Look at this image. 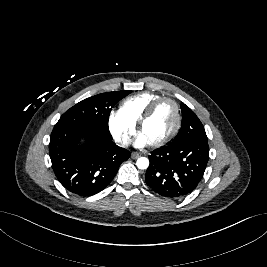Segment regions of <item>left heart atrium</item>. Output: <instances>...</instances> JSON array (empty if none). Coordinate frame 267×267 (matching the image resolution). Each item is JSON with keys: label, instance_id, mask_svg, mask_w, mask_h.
Listing matches in <instances>:
<instances>
[{"label": "left heart atrium", "instance_id": "left-heart-atrium-1", "mask_svg": "<svg viewBox=\"0 0 267 267\" xmlns=\"http://www.w3.org/2000/svg\"><path fill=\"white\" fill-rule=\"evenodd\" d=\"M151 143L141 134H139L135 140V145L137 147H145L150 145Z\"/></svg>", "mask_w": 267, "mask_h": 267}]
</instances>
